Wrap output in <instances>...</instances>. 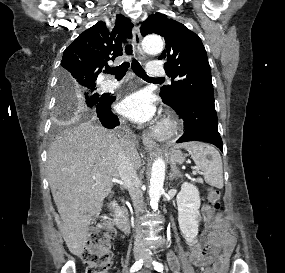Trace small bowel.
Segmentation results:
<instances>
[{"label":"small bowel","instance_id":"1","mask_svg":"<svg viewBox=\"0 0 285 273\" xmlns=\"http://www.w3.org/2000/svg\"><path fill=\"white\" fill-rule=\"evenodd\" d=\"M201 212L207 230L206 240L204 244L196 243L190 247L189 259L197 267L213 264L215 273H225L235 244L234 238L227 234L228 222L221 215H216L208 204L202 205ZM169 262L173 273H180L175 254L170 255Z\"/></svg>","mask_w":285,"mask_h":273}]
</instances>
